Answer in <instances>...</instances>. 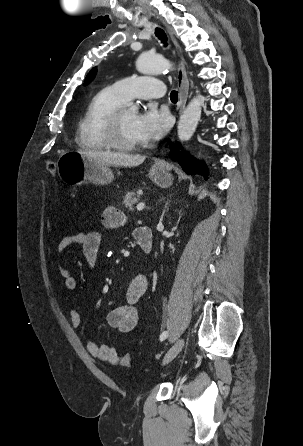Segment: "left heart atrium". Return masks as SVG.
<instances>
[{
	"label": "left heart atrium",
	"mask_w": 303,
	"mask_h": 446,
	"mask_svg": "<svg viewBox=\"0 0 303 446\" xmlns=\"http://www.w3.org/2000/svg\"><path fill=\"white\" fill-rule=\"evenodd\" d=\"M170 126V117L166 111L150 106L135 118L134 129L140 141L158 140Z\"/></svg>",
	"instance_id": "39dd6f15"
}]
</instances>
